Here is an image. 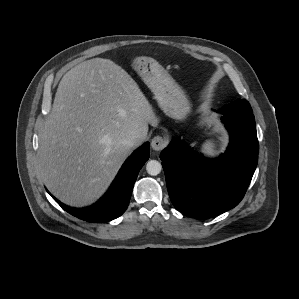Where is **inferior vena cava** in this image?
Here are the masks:
<instances>
[{"label": "inferior vena cava", "mask_w": 299, "mask_h": 299, "mask_svg": "<svg viewBox=\"0 0 299 299\" xmlns=\"http://www.w3.org/2000/svg\"><path fill=\"white\" fill-rule=\"evenodd\" d=\"M144 138L142 136H130L122 141V145L128 148H134L138 144L142 143Z\"/></svg>", "instance_id": "inferior-vena-cava-1"}]
</instances>
